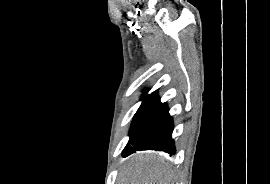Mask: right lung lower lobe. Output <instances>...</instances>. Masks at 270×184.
I'll return each mask as SVG.
<instances>
[{"label": "right lung lower lobe", "instance_id": "right-lung-lower-lobe-1", "mask_svg": "<svg viewBox=\"0 0 270 184\" xmlns=\"http://www.w3.org/2000/svg\"><path fill=\"white\" fill-rule=\"evenodd\" d=\"M172 131L173 119L169 115L167 104L161 103L156 94L149 98L133 123L129 142L122 153L123 157L139 150H156L174 154Z\"/></svg>", "mask_w": 270, "mask_h": 184}]
</instances>
